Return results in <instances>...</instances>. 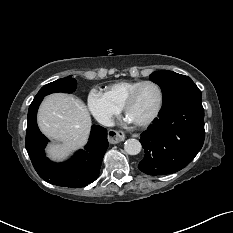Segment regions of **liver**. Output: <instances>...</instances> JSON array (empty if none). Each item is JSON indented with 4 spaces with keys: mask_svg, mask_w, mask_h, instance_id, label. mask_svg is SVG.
<instances>
[{
    "mask_svg": "<svg viewBox=\"0 0 233 233\" xmlns=\"http://www.w3.org/2000/svg\"><path fill=\"white\" fill-rule=\"evenodd\" d=\"M43 134L57 144L47 147L48 156L62 161L88 141L91 117L86 105L78 98L64 93H54L42 102L37 116Z\"/></svg>",
    "mask_w": 233,
    "mask_h": 233,
    "instance_id": "obj_1",
    "label": "liver"
}]
</instances>
